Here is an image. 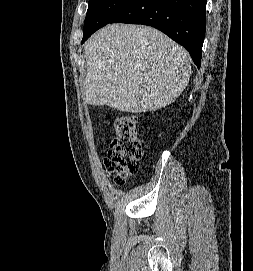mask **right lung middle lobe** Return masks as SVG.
Returning a JSON list of instances; mask_svg holds the SVG:
<instances>
[{
	"instance_id": "right-lung-middle-lobe-1",
	"label": "right lung middle lobe",
	"mask_w": 253,
	"mask_h": 271,
	"mask_svg": "<svg viewBox=\"0 0 253 271\" xmlns=\"http://www.w3.org/2000/svg\"><path fill=\"white\" fill-rule=\"evenodd\" d=\"M132 0H89L83 38L110 23Z\"/></svg>"
}]
</instances>
